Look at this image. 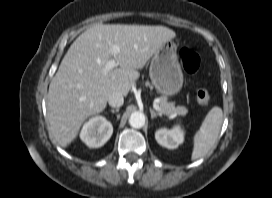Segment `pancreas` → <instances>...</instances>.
Segmentation results:
<instances>
[{
  "label": "pancreas",
  "mask_w": 272,
  "mask_h": 198,
  "mask_svg": "<svg viewBox=\"0 0 272 198\" xmlns=\"http://www.w3.org/2000/svg\"><path fill=\"white\" fill-rule=\"evenodd\" d=\"M147 85H150L148 82ZM159 106L162 109V113L166 115H186L188 110L184 106H175L174 102H168L167 97L163 96L161 97L159 101Z\"/></svg>",
  "instance_id": "obj_1"
}]
</instances>
